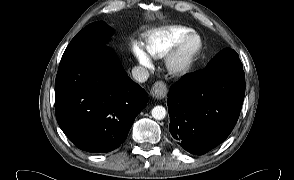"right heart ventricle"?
Here are the masks:
<instances>
[{"instance_id": "1", "label": "right heart ventricle", "mask_w": 294, "mask_h": 180, "mask_svg": "<svg viewBox=\"0 0 294 180\" xmlns=\"http://www.w3.org/2000/svg\"><path fill=\"white\" fill-rule=\"evenodd\" d=\"M190 30L183 26H166L141 34V41L152 58H163Z\"/></svg>"}]
</instances>
